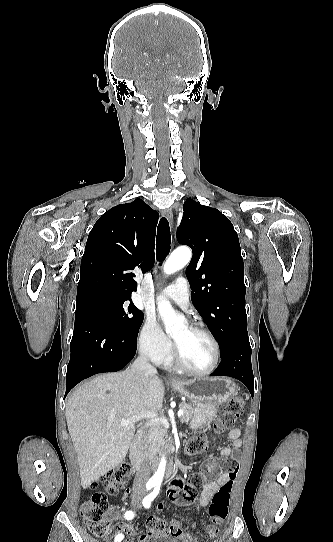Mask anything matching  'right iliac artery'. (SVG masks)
Masks as SVG:
<instances>
[{"mask_svg":"<svg viewBox=\"0 0 333 542\" xmlns=\"http://www.w3.org/2000/svg\"><path fill=\"white\" fill-rule=\"evenodd\" d=\"M154 486H155L154 483H149V484L146 485V488H147V490H150V489L153 488ZM148 496H149V495H148ZM148 496H147V497H148ZM151 502H152V501H151ZM133 517H134V513H133L132 511H127V512L125 513V518H126L127 520L133 519ZM123 537H124L123 534H118V535L115 537V542H117V541L120 542V541L123 539Z\"/></svg>","mask_w":333,"mask_h":542,"instance_id":"82829eb1","label":"right iliac artery"}]
</instances>
